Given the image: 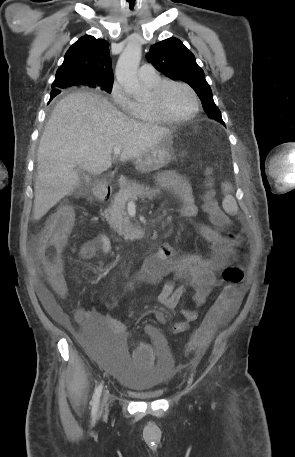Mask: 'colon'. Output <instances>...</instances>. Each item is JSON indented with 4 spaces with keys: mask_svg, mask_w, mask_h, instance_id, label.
I'll list each match as a JSON object with an SVG mask.
<instances>
[{
    "mask_svg": "<svg viewBox=\"0 0 295 457\" xmlns=\"http://www.w3.org/2000/svg\"><path fill=\"white\" fill-rule=\"evenodd\" d=\"M203 209L215 225L229 226L230 220L219 207L211 190L204 195ZM73 218V212L69 207L59 209L49 220L37 244L42 267L53 289L61 296L68 294V287L62 274V250ZM231 237H235V234L232 233ZM243 278L244 272L239 266H229L223 270L222 279L225 286L201 324L191 335L188 343L190 350L204 349L210 342L216 327L234 311L240 299V285ZM133 353L136 366H153L154 360L157 358V354L152 351L151 346H143V344L134 346Z\"/></svg>",
    "mask_w": 295,
    "mask_h": 457,
    "instance_id": "5ec220e1",
    "label": "colon"
}]
</instances>
